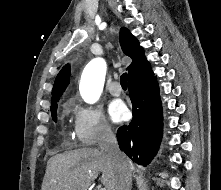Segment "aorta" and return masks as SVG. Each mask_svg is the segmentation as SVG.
I'll use <instances>...</instances> for the list:
<instances>
[{
	"label": "aorta",
	"mask_w": 221,
	"mask_h": 190,
	"mask_svg": "<svg viewBox=\"0 0 221 190\" xmlns=\"http://www.w3.org/2000/svg\"><path fill=\"white\" fill-rule=\"evenodd\" d=\"M106 62L103 58H95L91 60L85 67L80 81V94L83 100L93 104L100 98L103 90Z\"/></svg>",
	"instance_id": "1"
}]
</instances>
